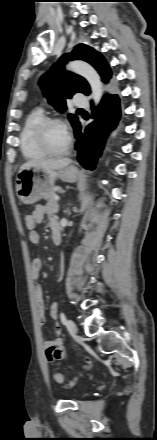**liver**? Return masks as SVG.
Returning <instances> with one entry per match:
<instances>
[{"label": "liver", "mask_w": 157, "mask_h": 440, "mask_svg": "<svg viewBox=\"0 0 157 440\" xmlns=\"http://www.w3.org/2000/svg\"><path fill=\"white\" fill-rule=\"evenodd\" d=\"M72 162L69 158H57V159H36L30 160L24 163L19 171L28 169L31 167H36L43 170H60L67 167Z\"/></svg>", "instance_id": "1"}]
</instances>
